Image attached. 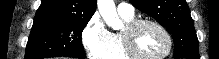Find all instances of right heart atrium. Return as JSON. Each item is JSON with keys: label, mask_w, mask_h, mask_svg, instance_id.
Masks as SVG:
<instances>
[{"label": "right heart atrium", "mask_w": 219, "mask_h": 59, "mask_svg": "<svg viewBox=\"0 0 219 59\" xmlns=\"http://www.w3.org/2000/svg\"><path fill=\"white\" fill-rule=\"evenodd\" d=\"M111 32L99 15H93L82 31L81 41L90 59H103L110 44Z\"/></svg>", "instance_id": "obj_1"}]
</instances>
